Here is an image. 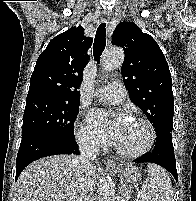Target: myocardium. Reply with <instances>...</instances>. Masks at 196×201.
<instances>
[{"instance_id": "f54148a6", "label": "myocardium", "mask_w": 196, "mask_h": 201, "mask_svg": "<svg viewBox=\"0 0 196 201\" xmlns=\"http://www.w3.org/2000/svg\"><path fill=\"white\" fill-rule=\"evenodd\" d=\"M134 121H137L138 123H140L141 125L145 127L147 131V139L144 146L141 149L137 151H133V152L124 151L121 148H119L117 145H114V149L116 153L123 158H128V159L139 158L147 154L152 149L155 143V131H154L153 125L147 119L142 117H136Z\"/></svg>"}]
</instances>
